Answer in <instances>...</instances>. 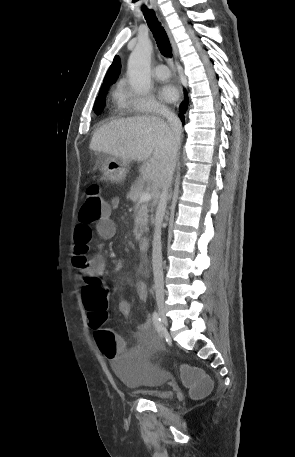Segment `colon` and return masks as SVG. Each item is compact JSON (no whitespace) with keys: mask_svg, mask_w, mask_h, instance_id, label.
I'll return each instance as SVG.
<instances>
[{"mask_svg":"<svg viewBox=\"0 0 295 457\" xmlns=\"http://www.w3.org/2000/svg\"><path fill=\"white\" fill-rule=\"evenodd\" d=\"M109 214V207L102 196L98 185L88 186L85 192V200L79 210V222L90 226L99 222ZM88 250L78 247L74 252L73 266L79 271L87 268ZM105 280L99 275H87V285L82 291L83 304L87 310L90 327L100 348L101 359H111L113 362H127V350L129 342L124 341L123 333H113L106 327L108 305L107 290L104 287ZM180 377H184V383L188 384L190 394L194 398H200L211 389V382L204 369L180 368Z\"/></svg>","mask_w":295,"mask_h":457,"instance_id":"5ec220e1","label":"colon"}]
</instances>
